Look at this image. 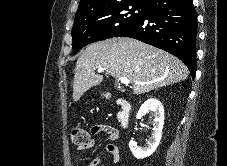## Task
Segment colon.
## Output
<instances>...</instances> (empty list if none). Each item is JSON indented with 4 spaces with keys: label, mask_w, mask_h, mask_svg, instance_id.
<instances>
[{
    "label": "colon",
    "mask_w": 227,
    "mask_h": 166,
    "mask_svg": "<svg viewBox=\"0 0 227 166\" xmlns=\"http://www.w3.org/2000/svg\"><path fill=\"white\" fill-rule=\"evenodd\" d=\"M69 135L74 146H87L91 143L90 134L81 126H72Z\"/></svg>",
    "instance_id": "obj_1"
}]
</instances>
